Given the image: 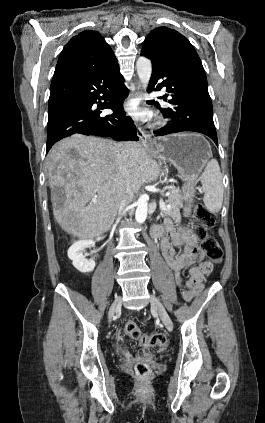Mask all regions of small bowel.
Wrapping results in <instances>:
<instances>
[{
    "mask_svg": "<svg viewBox=\"0 0 265 423\" xmlns=\"http://www.w3.org/2000/svg\"><path fill=\"white\" fill-rule=\"evenodd\" d=\"M162 232L161 251L174 272L176 284L183 290V298L186 301L192 300L203 289V278L212 271L210 262L205 261L198 248V238L189 228L176 226L171 218H166L162 225L157 226ZM182 246L181 253H176L175 247ZM188 268L189 278L183 280L182 271ZM116 348L127 360L132 355L125 347L124 332H117Z\"/></svg>",
    "mask_w": 265,
    "mask_h": 423,
    "instance_id": "1",
    "label": "small bowel"
}]
</instances>
